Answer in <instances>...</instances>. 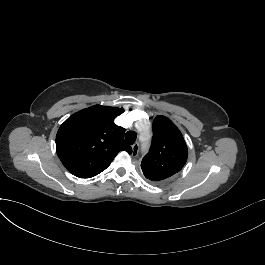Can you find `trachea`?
<instances>
[{
	"label": "trachea",
	"mask_w": 265,
	"mask_h": 265,
	"mask_svg": "<svg viewBox=\"0 0 265 265\" xmlns=\"http://www.w3.org/2000/svg\"><path fill=\"white\" fill-rule=\"evenodd\" d=\"M137 138V134L134 131H128L125 134L126 142L130 145L134 144Z\"/></svg>",
	"instance_id": "trachea-1"
}]
</instances>
